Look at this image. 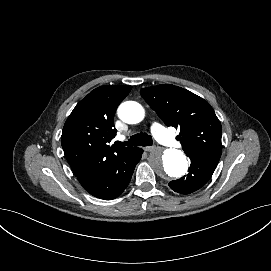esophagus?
I'll list each match as a JSON object with an SVG mask.
<instances>
[{
    "label": "esophagus",
    "instance_id": "34e87169",
    "mask_svg": "<svg viewBox=\"0 0 271 271\" xmlns=\"http://www.w3.org/2000/svg\"><path fill=\"white\" fill-rule=\"evenodd\" d=\"M143 149L146 152H151V151H154L156 149V146H148V147H144Z\"/></svg>",
    "mask_w": 271,
    "mask_h": 271
}]
</instances>
